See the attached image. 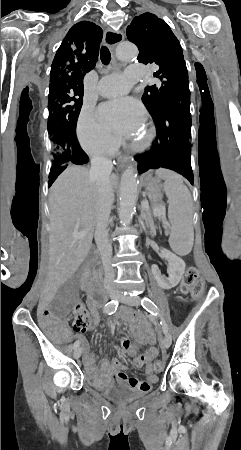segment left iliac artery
<instances>
[{
    "label": "left iliac artery",
    "mask_w": 241,
    "mask_h": 450,
    "mask_svg": "<svg viewBox=\"0 0 241 450\" xmlns=\"http://www.w3.org/2000/svg\"><path fill=\"white\" fill-rule=\"evenodd\" d=\"M141 305L143 306L144 309H146L152 315L160 316L157 305L152 300H150L148 297H144L141 300ZM160 324L162 326L163 332L166 334L168 332V326L163 318H161Z\"/></svg>",
    "instance_id": "left-iliac-artery-1"
}]
</instances>
